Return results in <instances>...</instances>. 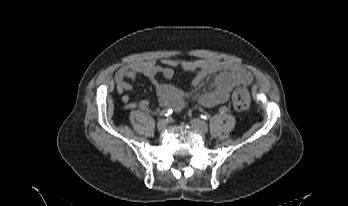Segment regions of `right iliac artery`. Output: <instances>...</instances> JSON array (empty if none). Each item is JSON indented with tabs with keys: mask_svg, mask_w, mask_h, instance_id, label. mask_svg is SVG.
I'll return each mask as SVG.
<instances>
[{
	"mask_svg": "<svg viewBox=\"0 0 348 206\" xmlns=\"http://www.w3.org/2000/svg\"><path fill=\"white\" fill-rule=\"evenodd\" d=\"M140 108L148 115H154L156 113L155 109H150L145 103H140ZM172 114V109H164L159 113V116H169Z\"/></svg>",
	"mask_w": 348,
	"mask_h": 206,
	"instance_id": "82829eb1",
	"label": "right iliac artery"
}]
</instances>
